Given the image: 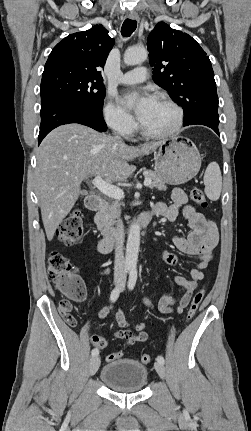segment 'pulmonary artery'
<instances>
[{"label":"pulmonary artery","mask_w":251,"mask_h":431,"mask_svg":"<svg viewBox=\"0 0 251 431\" xmlns=\"http://www.w3.org/2000/svg\"><path fill=\"white\" fill-rule=\"evenodd\" d=\"M147 78V69L145 67H138L132 71L121 74L118 81L123 84H137L145 81Z\"/></svg>","instance_id":"e3ab8cb5"}]
</instances>
